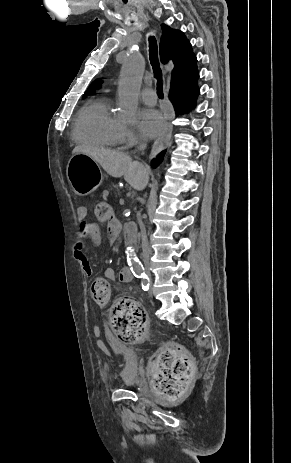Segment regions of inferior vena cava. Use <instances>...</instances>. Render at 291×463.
I'll use <instances>...</instances> for the list:
<instances>
[{
	"label": "inferior vena cava",
	"mask_w": 291,
	"mask_h": 463,
	"mask_svg": "<svg viewBox=\"0 0 291 463\" xmlns=\"http://www.w3.org/2000/svg\"><path fill=\"white\" fill-rule=\"evenodd\" d=\"M146 147V143H143L139 146V149H144ZM141 229V237H142V250H143V257L144 259H148L150 255V248L149 243L146 235V229L143 223L140 224Z\"/></svg>",
	"instance_id": "1"
}]
</instances>
